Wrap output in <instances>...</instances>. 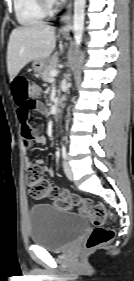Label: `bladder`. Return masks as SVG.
<instances>
[{
  "mask_svg": "<svg viewBox=\"0 0 134 281\" xmlns=\"http://www.w3.org/2000/svg\"><path fill=\"white\" fill-rule=\"evenodd\" d=\"M88 226L84 215L49 204H36L30 209V240L51 251L65 250Z\"/></svg>",
  "mask_w": 134,
  "mask_h": 281,
  "instance_id": "obj_1",
  "label": "bladder"
}]
</instances>
